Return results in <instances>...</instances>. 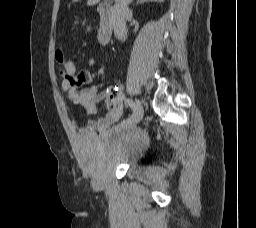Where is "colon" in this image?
Segmentation results:
<instances>
[{"label":"colon","instance_id":"1","mask_svg":"<svg viewBox=\"0 0 256 228\" xmlns=\"http://www.w3.org/2000/svg\"><path fill=\"white\" fill-rule=\"evenodd\" d=\"M56 58L58 60V62L61 64V65H64L66 63V57H65V54L64 52L59 49L56 53ZM115 99H116V94L115 92H111L108 94L107 96V104H108V107L111 109V111L115 110L116 108V103H115Z\"/></svg>","mask_w":256,"mask_h":228}]
</instances>
